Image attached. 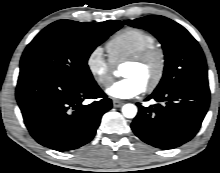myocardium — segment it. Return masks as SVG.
Returning <instances> with one entry per match:
<instances>
[{"label":"myocardium","instance_id":"myocardium-1","mask_svg":"<svg viewBox=\"0 0 220 173\" xmlns=\"http://www.w3.org/2000/svg\"><path fill=\"white\" fill-rule=\"evenodd\" d=\"M150 62L156 63V71L152 80L145 86L147 92L154 91L163 80L166 69V56L164 51L161 48L154 46L126 60L127 64L135 65H146Z\"/></svg>","mask_w":220,"mask_h":173}]
</instances>
